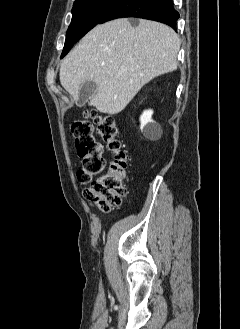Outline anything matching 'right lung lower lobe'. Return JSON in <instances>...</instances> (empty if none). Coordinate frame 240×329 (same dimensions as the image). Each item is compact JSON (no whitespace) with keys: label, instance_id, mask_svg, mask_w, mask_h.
<instances>
[{"label":"right lung lower lobe","instance_id":"right-lung-lower-lobe-1","mask_svg":"<svg viewBox=\"0 0 240 329\" xmlns=\"http://www.w3.org/2000/svg\"><path fill=\"white\" fill-rule=\"evenodd\" d=\"M122 17L155 20L176 30L179 13L174 9L172 0H121L98 24Z\"/></svg>","mask_w":240,"mask_h":329}]
</instances>
